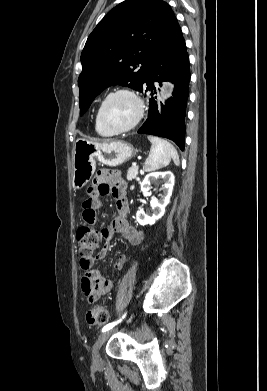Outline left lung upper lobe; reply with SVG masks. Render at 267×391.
I'll use <instances>...</instances> for the list:
<instances>
[{"label":"left lung upper lobe","mask_w":267,"mask_h":391,"mask_svg":"<svg viewBox=\"0 0 267 391\" xmlns=\"http://www.w3.org/2000/svg\"><path fill=\"white\" fill-rule=\"evenodd\" d=\"M178 27L162 0H125L114 7L89 35L81 54L80 115L108 86L140 91L151 57Z\"/></svg>","instance_id":"obj_1"}]
</instances>
